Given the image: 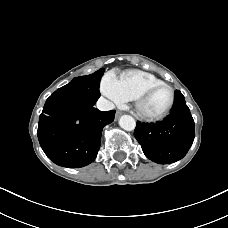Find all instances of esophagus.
<instances>
[{
  "label": "esophagus",
  "mask_w": 228,
  "mask_h": 228,
  "mask_svg": "<svg viewBox=\"0 0 228 228\" xmlns=\"http://www.w3.org/2000/svg\"><path fill=\"white\" fill-rule=\"evenodd\" d=\"M121 114H122V112L116 111L115 117H116V118H119V117L121 116Z\"/></svg>",
  "instance_id": "obj_1"
}]
</instances>
